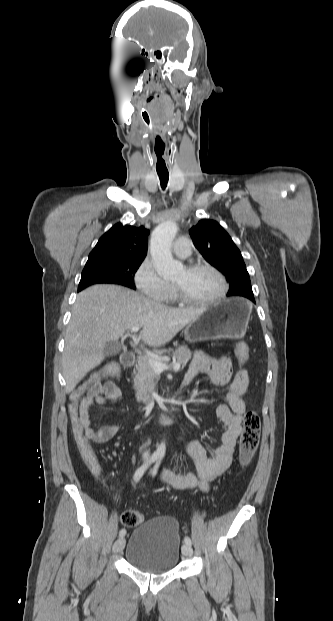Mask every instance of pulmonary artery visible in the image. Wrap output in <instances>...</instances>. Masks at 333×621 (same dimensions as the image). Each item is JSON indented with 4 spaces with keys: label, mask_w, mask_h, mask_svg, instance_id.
<instances>
[{
    "label": "pulmonary artery",
    "mask_w": 333,
    "mask_h": 621,
    "mask_svg": "<svg viewBox=\"0 0 333 621\" xmlns=\"http://www.w3.org/2000/svg\"><path fill=\"white\" fill-rule=\"evenodd\" d=\"M174 254L182 259H185L191 254V242L188 238L180 237L176 239L173 245Z\"/></svg>",
    "instance_id": "pulmonary-artery-1"
}]
</instances>
